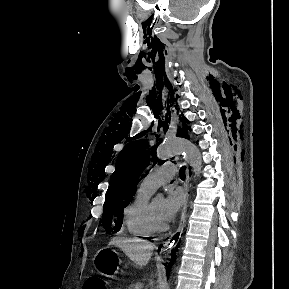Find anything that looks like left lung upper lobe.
<instances>
[{
	"instance_id": "obj_1",
	"label": "left lung upper lobe",
	"mask_w": 289,
	"mask_h": 289,
	"mask_svg": "<svg viewBox=\"0 0 289 289\" xmlns=\"http://www.w3.org/2000/svg\"><path fill=\"white\" fill-rule=\"evenodd\" d=\"M184 129L186 127L184 126ZM179 129L177 136L187 138L186 131ZM146 140L135 141L125 146L117 159V166L111 177L104 203L101 223L107 232H117L121 227L123 209L129 204L133 192L139 182L143 168L154 158L156 163V147L149 153ZM113 223L116 225L113 226Z\"/></svg>"
}]
</instances>
